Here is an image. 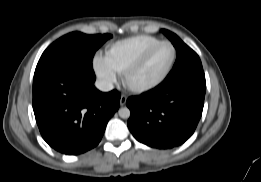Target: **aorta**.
<instances>
[{"label": "aorta", "instance_id": "aorta-1", "mask_svg": "<svg viewBox=\"0 0 261 182\" xmlns=\"http://www.w3.org/2000/svg\"><path fill=\"white\" fill-rule=\"evenodd\" d=\"M118 113H119V116L123 119H128L131 114L129 108H127V107H123V108L119 109Z\"/></svg>", "mask_w": 261, "mask_h": 182}]
</instances>
